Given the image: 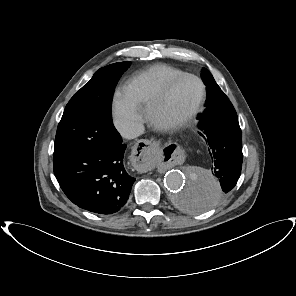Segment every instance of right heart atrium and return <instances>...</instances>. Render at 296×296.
Wrapping results in <instances>:
<instances>
[{
  "label": "right heart atrium",
  "instance_id": "obj_1",
  "mask_svg": "<svg viewBox=\"0 0 296 296\" xmlns=\"http://www.w3.org/2000/svg\"><path fill=\"white\" fill-rule=\"evenodd\" d=\"M113 110L119 131L125 136L133 135L143 120V114L127 92L118 91L115 94Z\"/></svg>",
  "mask_w": 296,
  "mask_h": 296
}]
</instances>
